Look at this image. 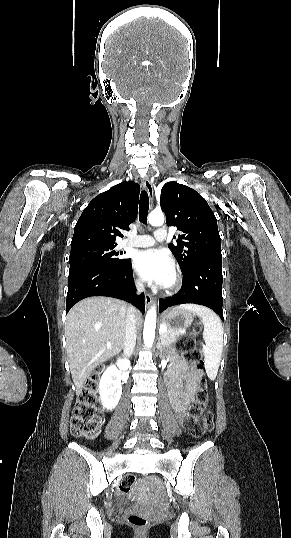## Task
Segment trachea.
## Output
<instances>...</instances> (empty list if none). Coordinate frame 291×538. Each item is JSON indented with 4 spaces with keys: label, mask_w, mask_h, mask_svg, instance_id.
<instances>
[{
    "label": "trachea",
    "mask_w": 291,
    "mask_h": 538,
    "mask_svg": "<svg viewBox=\"0 0 291 538\" xmlns=\"http://www.w3.org/2000/svg\"><path fill=\"white\" fill-rule=\"evenodd\" d=\"M149 210V197L148 193L143 190L140 195V202H139V220L141 223L146 224L147 222V214Z\"/></svg>",
    "instance_id": "1"
}]
</instances>
